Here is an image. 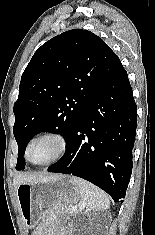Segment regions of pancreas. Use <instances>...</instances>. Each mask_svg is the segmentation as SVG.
<instances>
[{"instance_id": "cf45deb5", "label": "pancreas", "mask_w": 155, "mask_h": 235, "mask_svg": "<svg viewBox=\"0 0 155 235\" xmlns=\"http://www.w3.org/2000/svg\"><path fill=\"white\" fill-rule=\"evenodd\" d=\"M62 210H64V212L70 216H75L76 212H72L70 207L67 206H61Z\"/></svg>"}]
</instances>
